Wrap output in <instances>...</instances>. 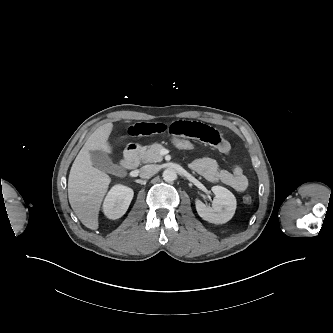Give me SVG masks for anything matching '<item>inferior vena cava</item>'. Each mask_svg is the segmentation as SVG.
<instances>
[{
  "label": "inferior vena cava",
  "mask_w": 333,
  "mask_h": 333,
  "mask_svg": "<svg viewBox=\"0 0 333 333\" xmlns=\"http://www.w3.org/2000/svg\"><path fill=\"white\" fill-rule=\"evenodd\" d=\"M159 171L156 165H145L140 168V176L142 178H150Z\"/></svg>",
  "instance_id": "602c4592"
}]
</instances>
